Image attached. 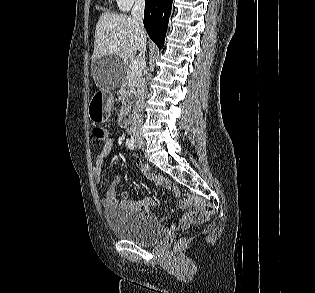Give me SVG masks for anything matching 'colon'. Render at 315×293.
Instances as JSON below:
<instances>
[{
  "instance_id": "colon-1",
  "label": "colon",
  "mask_w": 315,
  "mask_h": 293,
  "mask_svg": "<svg viewBox=\"0 0 315 293\" xmlns=\"http://www.w3.org/2000/svg\"><path fill=\"white\" fill-rule=\"evenodd\" d=\"M93 135L95 138L99 139V140H104L107 137V130L102 127V126H96L93 129ZM184 201L185 202H195L197 204V206L200 208L201 212L203 213V215L207 218H211L214 214V207L206 202H202V201H198L196 200L193 196L187 194L184 197ZM184 244L183 240H180L177 245L176 248L180 249Z\"/></svg>"
}]
</instances>
